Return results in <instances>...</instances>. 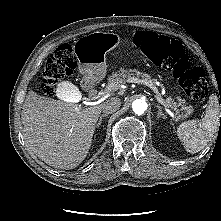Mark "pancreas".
Masks as SVG:
<instances>
[{"instance_id":"1","label":"pancreas","mask_w":221,"mask_h":221,"mask_svg":"<svg viewBox=\"0 0 221 221\" xmlns=\"http://www.w3.org/2000/svg\"><path fill=\"white\" fill-rule=\"evenodd\" d=\"M139 78L144 83L154 85V79H152L148 74L136 71V70H120L118 72H113L108 77V86L113 85L116 89L119 85L128 82L131 78ZM166 103L172 107H174L177 112L183 111L181 114H177L178 119L188 118L193 113L192 106H186V101L184 99H178V102L171 97L167 98ZM179 107V108H178Z\"/></svg>"}]
</instances>
